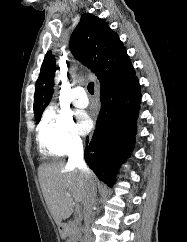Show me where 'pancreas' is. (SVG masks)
<instances>
[{
  "label": "pancreas",
  "mask_w": 187,
  "mask_h": 242,
  "mask_svg": "<svg viewBox=\"0 0 187 242\" xmlns=\"http://www.w3.org/2000/svg\"><path fill=\"white\" fill-rule=\"evenodd\" d=\"M81 238V229L79 221L74 219L68 225V239L67 242H78Z\"/></svg>",
  "instance_id": "1"
}]
</instances>
